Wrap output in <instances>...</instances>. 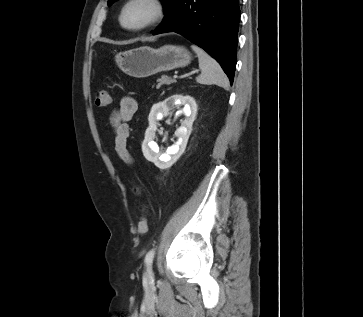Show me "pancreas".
Masks as SVG:
<instances>
[{
	"mask_svg": "<svg viewBox=\"0 0 363 317\" xmlns=\"http://www.w3.org/2000/svg\"><path fill=\"white\" fill-rule=\"evenodd\" d=\"M157 82H159L158 85L161 86L163 84L169 85V84L173 83L174 80H172L170 77L164 75L160 79H158Z\"/></svg>",
	"mask_w": 363,
	"mask_h": 317,
	"instance_id": "1",
	"label": "pancreas"
}]
</instances>
